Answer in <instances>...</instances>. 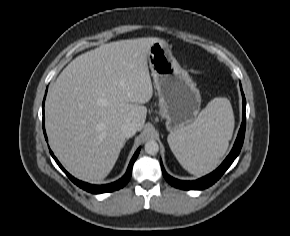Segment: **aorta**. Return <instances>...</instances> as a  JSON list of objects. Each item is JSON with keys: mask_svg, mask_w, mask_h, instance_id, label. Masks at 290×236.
Returning <instances> with one entry per match:
<instances>
[{"mask_svg": "<svg viewBox=\"0 0 290 236\" xmlns=\"http://www.w3.org/2000/svg\"><path fill=\"white\" fill-rule=\"evenodd\" d=\"M144 149L147 154L155 155L159 150V145L155 140H149L145 143Z\"/></svg>", "mask_w": 290, "mask_h": 236, "instance_id": "762f6f07", "label": "aorta"}]
</instances>
